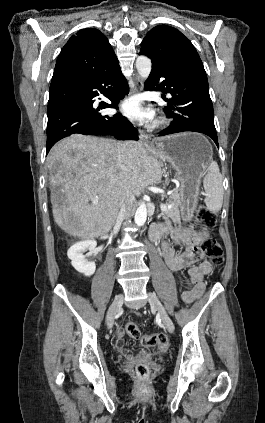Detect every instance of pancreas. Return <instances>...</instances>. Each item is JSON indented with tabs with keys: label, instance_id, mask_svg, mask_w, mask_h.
I'll use <instances>...</instances> for the list:
<instances>
[{
	"label": "pancreas",
	"instance_id": "pancreas-1",
	"mask_svg": "<svg viewBox=\"0 0 265 423\" xmlns=\"http://www.w3.org/2000/svg\"><path fill=\"white\" fill-rule=\"evenodd\" d=\"M165 205L169 206V208L163 214L171 218L174 222H179V207L181 206V197L178 191H174L169 195Z\"/></svg>",
	"mask_w": 265,
	"mask_h": 423
}]
</instances>
